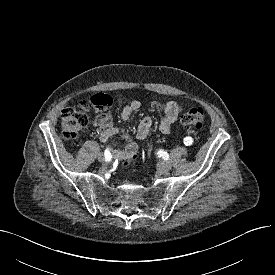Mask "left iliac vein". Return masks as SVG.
Listing matches in <instances>:
<instances>
[{"mask_svg":"<svg viewBox=\"0 0 275 275\" xmlns=\"http://www.w3.org/2000/svg\"><path fill=\"white\" fill-rule=\"evenodd\" d=\"M172 168V164L169 161H161L158 163V170L163 173L166 174L168 173Z\"/></svg>","mask_w":275,"mask_h":275,"instance_id":"left-iliac-vein-1","label":"left iliac vein"}]
</instances>
